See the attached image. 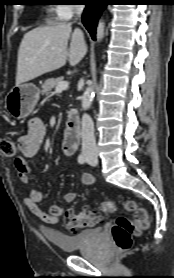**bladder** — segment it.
Listing matches in <instances>:
<instances>
[{"label": "bladder", "instance_id": "bladder-1", "mask_svg": "<svg viewBox=\"0 0 174 278\" xmlns=\"http://www.w3.org/2000/svg\"><path fill=\"white\" fill-rule=\"evenodd\" d=\"M101 232L99 227H93L72 235L48 231L46 236L47 239L60 250L73 252L97 241L101 236Z\"/></svg>", "mask_w": 174, "mask_h": 278}]
</instances>
